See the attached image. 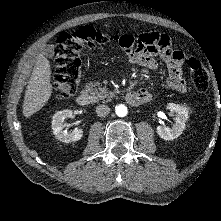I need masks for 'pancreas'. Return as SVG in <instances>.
I'll list each match as a JSON object with an SVG mask.
<instances>
[{
    "label": "pancreas",
    "instance_id": "1",
    "mask_svg": "<svg viewBox=\"0 0 221 221\" xmlns=\"http://www.w3.org/2000/svg\"><path fill=\"white\" fill-rule=\"evenodd\" d=\"M96 86H99L98 82L86 84L87 91L91 94L93 102H98L99 100L105 101V99L108 102L115 96V92L109 91L106 87L99 86L96 88Z\"/></svg>",
    "mask_w": 221,
    "mask_h": 221
}]
</instances>
